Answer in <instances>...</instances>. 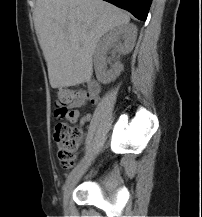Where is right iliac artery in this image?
<instances>
[{"instance_id":"right-iliac-artery-1","label":"right iliac artery","mask_w":202,"mask_h":217,"mask_svg":"<svg viewBox=\"0 0 202 217\" xmlns=\"http://www.w3.org/2000/svg\"><path fill=\"white\" fill-rule=\"evenodd\" d=\"M86 157L84 159L81 160V162L70 172V174L68 175L64 188L63 190L66 189L67 185L69 184V182L71 181L72 177L75 175V173L79 170V168L83 165L84 161H85Z\"/></svg>"}]
</instances>
